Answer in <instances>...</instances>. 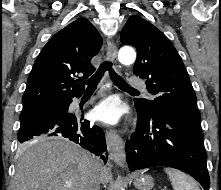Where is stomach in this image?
Masks as SVG:
<instances>
[{"label": "stomach", "mask_w": 221, "mask_h": 190, "mask_svg": "<svg viewBox=\"0 0 221 190\" xmlns=\"http://www.w3.org/2000/svg\"><path fill=\"white\" fill-rule=\"evenodd\" d=\"M133 184L139 190H151L154 186V180L150 175H135Z\"/></svg>", "instance_id": "1"}]
</instances>
